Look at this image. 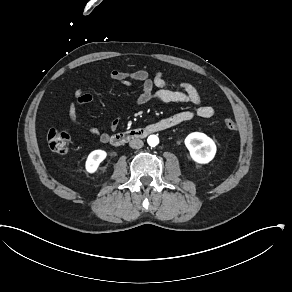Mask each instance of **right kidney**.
Wrapping results in <instances>:
<instances>
[{"instance_id":"right-kidney-1","label":"right kidney","mask_w":292,"mask_h":292,"mask_svg":"<svg viewBox=\"0 0 292 292\" xmlns=\"http://www.w3.org/2000/svg\"><path fill=\"white\" fill-rule=\"evenodd\" d=\"M106 152L102 150H96L90 153L86 161V170L93 173L97 170L99 164L105 159Z\"/></svg>"}]
</instances>
